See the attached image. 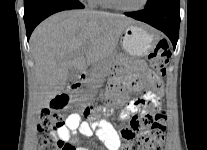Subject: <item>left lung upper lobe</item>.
Masks as SVG:
<instances>
[{
    "label": "left lung upper lobe",
    "mask_w": 207,
    "mask_h": 150,
    "mask_svg": "<svg viewBox=\"0 0 207 150\" xmlns=\"http://www.w3.org/2000/svg\"><path fill=\"white\" fill-rule=\"evenodd\" d=\"M161 0H147L146 6L145 7H151L154 4L160 2Z\"/></svg>",
    "instance_id": "5c2ea615"
}]
</instances>
